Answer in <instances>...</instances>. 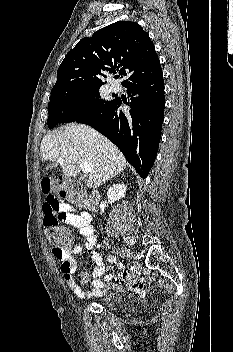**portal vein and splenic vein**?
<instances>
[{"mask_svg":"<svg viewBox=\"0 0 233 352\" xmlns=\"http://www.w3.org/2000/svg\"><path fill=\"white\" fill-rule=\"evenodd\" d=\"M57 161L59 163H63L64 159L62 157H59L57 159ZM79 166H80L81 170L83 171V173H85V174L90 173L92 170V165L87 162H81Z\"/></svg>","mask_w":233,"mask_h":352,"instance_id":"portal-vein-and-splenic-vein-1","label":"portal vein and splenic vein"}]
</instances>
